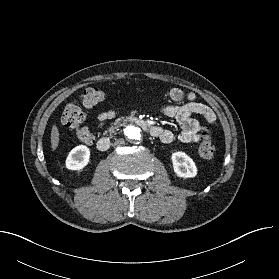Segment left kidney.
I'll list each match as a JSON object with an SVG mask.
<instances>
[{"label":"left kidney","instance_id":"1","mask_svg":"<svg viewBox=\"0 0 279 279\" xmlns=\"http://www.w3.org/2000/svg\"><path fill=\"white\" fill-rule=\"evenodd\" d=\"M173 170L178 177L193 178L197 174L195 162L184 152H174L171 156Z\"/></svg>","mask_w":279,"mask_h":279}]
</instances>
